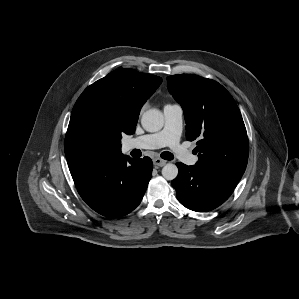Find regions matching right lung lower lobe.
Masks as SVG:
<instances>
[{
    "label": "right lung lower lobe",
    "mask_w": 299,
    "mask_h": 299,
    "mask_svg": "<svg viewBox=\"0 0 299 299\" xmlns=\"http://www.w3.org/2000/svg\"><path fill=\"white\" fill-rule=\"evenodd\" d=\"M82 199L99 214L117 218L141 202L151 179L149 157L134 159L122 153L94 163H68Z\"/></svg>",
    "instance_id": "1"
}]
</instances>
